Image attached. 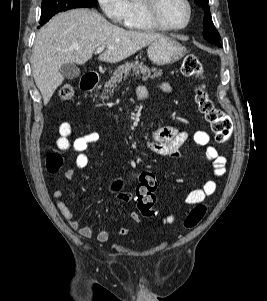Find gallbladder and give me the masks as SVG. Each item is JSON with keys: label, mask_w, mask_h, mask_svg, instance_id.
<instances>
[{"label": "gallbladder", "mask_w": 267, "mask_h": 301, "mask_svg": "<svg viewBox=\"0 0 267 301\" xmlns=\"http://www.w3.org/2000/svg\"><path fill=\"white\" fill-rule=\"evenodd\" d=\"M60 73L66 79H76L80 75V69L76 66L75 63H66L61 66Z\"/></svg>", "instance_id": "gallbladder-1"}]
</instances>
